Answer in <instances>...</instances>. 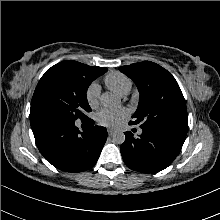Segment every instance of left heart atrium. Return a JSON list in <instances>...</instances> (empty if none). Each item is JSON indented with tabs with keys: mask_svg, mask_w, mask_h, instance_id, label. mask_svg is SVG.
I'll list each match as a JSON object with an SVG mask.
<instances>
[{
	"mask_svg": "<svg viewBox=\"0 0 220 220\" xmlns=\"http://www.w3.org/2000/svg\"><path fill=\"white\" fill-rule=\"evenodd\" d=\"M127 116L128 111L125 108H105L97 113L96 120L102 126L114 128L119 126Z\"/></svg>",
	"mask_w": 220,
	"mask_h": 220,
	"instance_id": "left-heart-atrium-1",
	"label": "left heart atrium"
}]
</instances>
